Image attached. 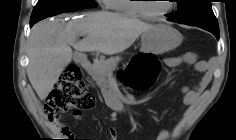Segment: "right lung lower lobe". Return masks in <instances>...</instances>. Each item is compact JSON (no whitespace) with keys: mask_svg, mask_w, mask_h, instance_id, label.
Returning <instances> with one entry per match:
<instances>
[{"mask_svg":"<svg viewBox=\"0 0 236 140\" xmlns=\"http://www.w3.org/2000/svg\"><path fill=\"white\" fill-rule=\"evenodd\" d=\"M33 24H34L33 22H30V27L33 26Z\"/></svg>","mask_w":236,"mask_h":140,"instance_id":"98d812e1","label":"right lung lower lobe"}]
</instances>
